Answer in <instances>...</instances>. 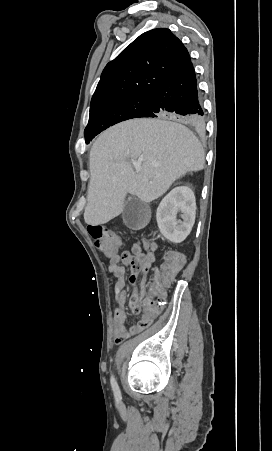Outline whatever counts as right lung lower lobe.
I'll return each instance as SVG.
<instances>
[{
	"mask_svg": "<svg viewBox=\"0 0 272 451\" xmlns=\"http://www.w3.org/2000/svg\"><path fill=\"white\" fill-rule=\"evenodd\" d=\"M203 116L200 91L190 60L150 94L147 107L136 118H171L202 129Z\"/></svg>",
	"mask_w": 272,
	"mask_h": 451,
	"instance_id": "obj_1",
	"label": "right lung lower lobe"
}]
</instances>
